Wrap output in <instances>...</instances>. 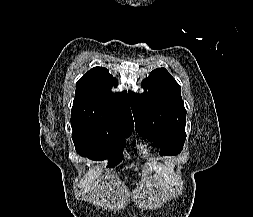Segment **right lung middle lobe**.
Here are the masks:
<instances>
[{
  "label": "right lung middle lobe",
  "instance_id": "obj_1",
  "mask_svg": "<svg viewBox=\"0 0 253 217\" xmlns=\"http://www.w3.org/2000/svg\"><path fill=\"white\" fill-rule=\"evenodd\" d=\"M71 126L76 152L98 161L108 158V167L112 168L122 161L123 138L132 133L134 123L71 117Z\"/></svg>",
  "mask_w": 253,
  "mask_h": 217
}]
</instances>
